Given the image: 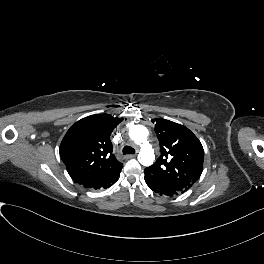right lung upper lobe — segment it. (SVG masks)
<instances>
[{
  "instance_id": "cb5924a9",
  "label": "right lung upper lobe",
  "mask_w": 264,
  "mask_h": 264,
  "mask_svg": "<svg viewBox=\"0 0 264 264\" xmlns=\"http://www.w3.org/2000/svg\"><path fill=\"white\" fill-rule=\"evenodd\" d=\"M123 118L96 114L77 121L64 136L59 152L71 178L91 188L122 169L110 135Z\"/></svg>"
}]
</instances>
